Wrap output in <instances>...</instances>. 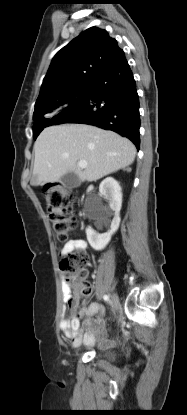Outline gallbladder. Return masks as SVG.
<instances>
[{"mask_svg":"<svg viewBox=\"0 0 187 415\" xmlns=\"http://www.w3.org/2000/svg\"><path fill=\"white\" fill-rule=\"evenodd\" d=\"M60 182L68 189L76 188L81 185V180L73 172H68L62 176Z\"/></svg>","mask_w":187,"mask_h":415,"instance_id":"bac80fb5","label":"gallbladder"}]
</instances>
